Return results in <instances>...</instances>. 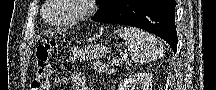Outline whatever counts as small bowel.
Listing matches in <instances>:
<instances>
[{
	"label": "small bowel",
	"instance_id": "1",
	"mask_svg": "<svg viewBox=\"0 0 216 90\" xmlns=\"http://www.w3.org/2000/svg\"><path fill=\"white\" fill-rule=\"evenodd\" d=\"M71 79L75 90H92L91 86L87 83L85 76L81 73L72 74Z\"/></svg>",
	"mask_w": 216,
	"mask_h": 90
}]
</instances>
